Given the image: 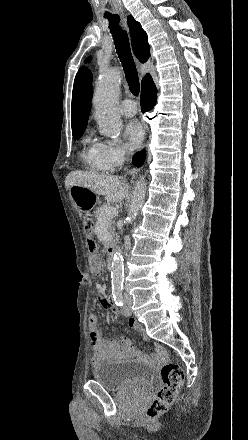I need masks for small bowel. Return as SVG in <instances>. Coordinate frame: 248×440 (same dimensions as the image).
<instances>
[{"label": "small bowel", "mask_w": 248, "mask_h": 440, "mask_svg": "<svg viewBox=\"0 0 248 440\" xmlns=\"http://www.w3.org/2000/svg\"><path fill=\"white\" fill-rule=\"evenodd\" d=\"M99 301L105 308H111L117 315L118 310L112 308L105 295L99 296ZM130 326L146 338L142 326L136 321H130ZM88 331L92 344V365L98 366L104 361L119 360L125 357L141 358V353L133 346L131 341L123 338L121 342L113 339L107 340L98 328V320L94 314H91L88 319ZM154 361L160 362L165 359L166 352L160 345H154Z\"/></svg>", "instance_id": "obj_1"}]
</instances>
